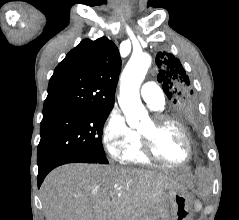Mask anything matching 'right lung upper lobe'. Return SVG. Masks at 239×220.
Here are the masks:
<instances>
[{
  "label": "right lung upper lobe",
  "mask_w": 239,
  "mask_h": 220,
  "mask_svg": "<svg viewBox=\"0 0 239 220\" xmlns=\"http://www.w3.org/2000/svg\"><path fill=\"white\" fill-rule=\"evenodd\" d=\"M120 70L119 51L112 41L106 37L82 40L55 68L43 114L111 110Z\"/></svg>",
  "instance_id": "right-lung-upper-lobe-1"
}]
</instances>
